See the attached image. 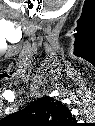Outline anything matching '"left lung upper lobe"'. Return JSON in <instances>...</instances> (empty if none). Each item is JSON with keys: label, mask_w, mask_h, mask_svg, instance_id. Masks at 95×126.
Listing matches in <instances>:
<instances>
[{"label": "left lung upper lobe", "mask_w": 95, "mask_h": 126, "mask_svg": "<svg viewBox=\"0 0 95 126\" xmlns=\"http://www.w3.org/2000/svg\"><path fill=\"white\" fill-rule=\"evenodd\" d=\"M7 119L18 126H68L73 117L61 101L44 96L10 114Z\"/></svg>", "instance_id": "5c2ea615"}]
</instances>
